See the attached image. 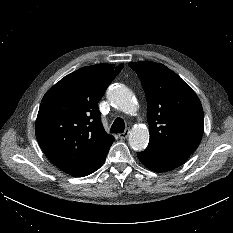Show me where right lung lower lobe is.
Masks as SVG:
<instances>
[{"instance_id": "right-lung-lower-lobe-1", "label": "right lung lower lobe", "mask_w": 233, "mask_h": 233, "mask_svg": "<svg viewBox=\"0 0 233 233\" xmlns=\"http://www.w3.org/2000/svg\"><path fill=\"white\" fill-rule=\"evenodd\" d=\"M107 153H108V151L105 152L95 163H93L92 165L86 167L85 169L73 174L72 176L84 177V176H87V175L95 172L104 163Z\"/></svg>"}]
</instances>
